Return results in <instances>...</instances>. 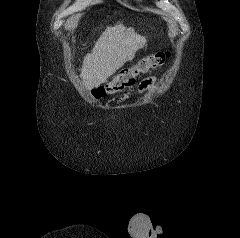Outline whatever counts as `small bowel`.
I'll return each instance as SVG.
<instances>
[{
  "mask_svg": "<svg viewBox=\"0 0 240 238\" xmlns=\"http://www.w3.org/2000/svg\"><path fill=\"white\" fill-rule=\"evenodd\" d=\"M156 80L154 76L142 80L138 86V92L144 95L153 91L156 88ZM128 97L129 94H126L124 98L127 99Z\"/></svg>",
  "mask_w": 240,
  "mask_h": 238,
  "instance_id": "small-bowel-1",
  "label": "small bowel"
}]
</instances>
